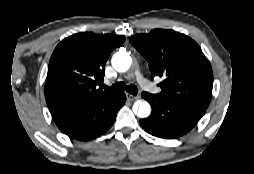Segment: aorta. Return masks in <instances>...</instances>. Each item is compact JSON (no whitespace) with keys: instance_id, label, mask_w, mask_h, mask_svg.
<instances>
[{"instance_id":"1","label":"aorta","mask_w":254,"mask_h":174,"mask_svg":"<svg viewBox=\"0 0 254 174\" xmlns=\"http://www.w3.org/2000/svg\"><path fill=\"white\" fill-rule=\"evenodd\" d=\"M111 62L113 68L116 71L125 72L130 68L132 64V59L129 56V54L125 52H117L113 55ZM150 113H151L150 104L146 101L141 102L137 111V116L139 118H147L150 115Z\"/></svg>"}]
</instances>
